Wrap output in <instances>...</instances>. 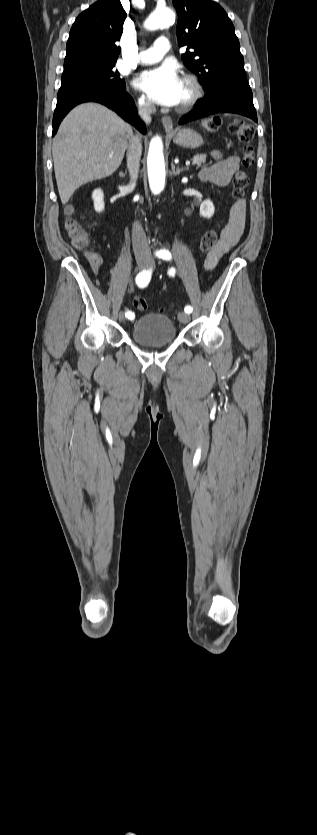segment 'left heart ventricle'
Here are the masks:
<instances>
[{"label":"left heart ventricle","instance_id":"b2bd125f","mask_svg":"<svg viewBox=\"0 0 317 835\" xmlns=\"http://www.w3.org/2000/svg\"><path fill=\"white\" fill-rule=\"evenodd\" d=\"M187 96H188V90H187V87H186V85L182 82V91H181V95H180V101H179V103L183 102V101L186 99V97H187ZM179 103H178V104H179Z\"/></svg>","mask_w":317,"mask_h":835}]
</instances>
